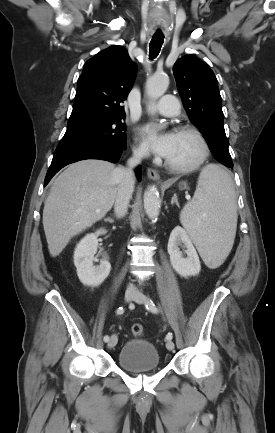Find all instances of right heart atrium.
Returning <instances> with one entry per match:
<instances>
[{
	"instance_id": "d8ad5b80",
	"label": "right heart atrium",
	"mask_w": 275,
	"mask_h": 433,
	"mask_svg": "<svg viewBox=\"0 0 275 433\" xmlns=\"http://www.w3.org/2000/svg\"><path fill=\"white\" fill-rule=\"evenodd\" d=\"M134 153L138 156V157H144L147 154V150L145 148L144 145L142 144H138L134 147Z\"/></svg>"
}]
</instances>
